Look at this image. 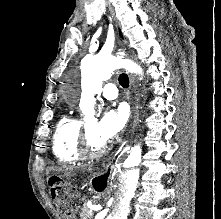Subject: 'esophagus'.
Masks as SVG:
<instances>
[{"label":"esophagus","instance_id":"obj_1","mask_svg":"<svg viewBox=\"0 0 221 219\" xmlns=\"http://www.w3.org/2000/svg\"><path fill=\"white\" fill-rule=\"evenodd\" d=\"M129 80H130V90L132 92V95H131V109L132 111L136 110V95H134V93H136V90H135V82H134V78L131 74H129Z\"/></svg>","mask_w":221,"mask_h":219}]
</instances>
